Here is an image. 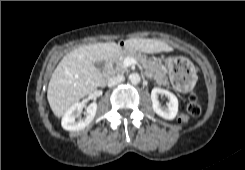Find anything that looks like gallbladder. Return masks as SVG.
Returning a JSON list of instances; mask_svg holds the SVG:
<instances>
[{
    "mask_svg": "<svg viewBox=\"0 0 245 170\" xmlns=\"http://www.w3.org/2000/svg\"><path fill=\"white\" fill-rule=\"evenodd\" d=\"M94 65L99 70H103V68H104V62L103 61H97L94 63Z\"/></svg>",
    "mask_w": 245,
    "mask_h": 170,
    "instance_id": "bac80fb5",
    "label": "gallbladder"
}]
</instances>
